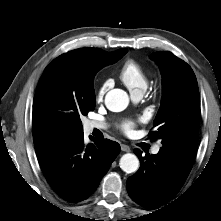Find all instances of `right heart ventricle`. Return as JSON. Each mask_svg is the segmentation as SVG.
<instances>
[{
	"label": "right heart ventricle",
	"mask_w": 221,
	"mask_h": 221,
	"mask_svg": "<svg viewBox=\"0 0 221 221\" xmlns=\"http://www.w3.org/2000/svg\"><path fill=\"white\" fill-rule=\"evenodd\" d=\"M119 77L130 92L145 91L149 82L144 68L135 60H127L123 64Z\"/></svg>",
	"instance_id": "1"
}]
</instances>
